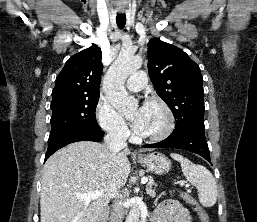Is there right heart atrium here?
<instances>
[{"mask_svg": "<svg viewBox=\"0 0 257 222\" xmlns=\"http://www.w3.org/2000/svg\"><path fill=\"white\" fill-rule=\"evenodd\" d=\"M96 119L100 127L117 139H126L130 136L126 123L119 116L117 111L105 99H100L95 109ZM106 115L111 116L114 121L110 125H106L104 118Z\"/></svg>", "mask_w": 257, "mask_h": 222, "instance_id": "d8ad5b80", "label": "right heart atrium"}]
</instances>
